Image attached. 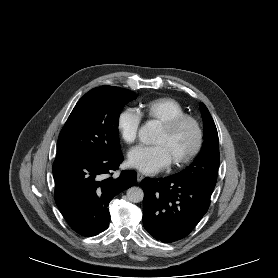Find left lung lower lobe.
I'll list each match as a JSON object with an SVG mask.
<instances>
[{"mask_svg":"<svg viewBox=\"0 0 278 278\" xmlns=\"http://www.w3.org/2000/svg\"><path fill=\"white\" fill-rule=\"evenodd\" d=\"M143 224L156 239L170 243L186 237L207 212L215 185L172 176L144 179Z\"/></svg>","mask_w":278,"mask_h":278,"instance_id":"1","label":"left lung lower lobe"}]
</instances>
